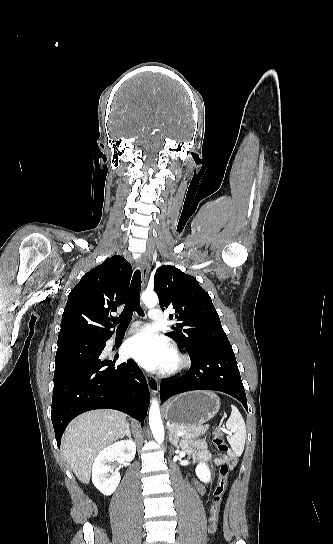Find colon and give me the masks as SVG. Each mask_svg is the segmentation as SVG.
<instances>
[{
  "label": "colon",
  "mask_w": 333,
  "mask_h": 544,
  "mask_svg": "<svg viewBox=\"0 0 333 544\" xmlns=\"http://www.w3.org/2000/svg\"><path fill=\"white\" fill-rule=\"evenodd\" d=\"M213 444H214V447L222 454L227 453L228 446L225 442L223 433L220 428H217L214 432ZM229 472H230V466L227 463H222V465L219 468V478L212 492L211 509H210V525H209V532L211 534H214L217 530L221 503H222L223 495L227 488Z\"/></svg>",
  "instance_id": "5ec220e1"
}]
</instances>
